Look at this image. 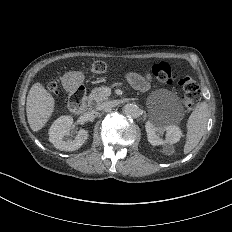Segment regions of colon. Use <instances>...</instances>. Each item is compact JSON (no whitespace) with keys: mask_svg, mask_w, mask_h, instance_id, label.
Wrapping results in <instances>:
<instances>
[{"mask_svg":"<svg viewBox=\"0 0 232 232\" xmlns=\"http://www.w3.org/2000/svg\"><path fill=\"white\" fill-rule=\"evenodd\" d=\"M105 65L104 61H93V65H87L88 73H105L106 69L102 68ZM159 82H164V77H159ZM179 86H187L182 94V99H187L185 106H182V111H198V107H201L199 97H195V94H201L202 86H193L191 77H178ZM47 89H50L51 93L55 92V84H46Z\"/></svg>","mask_w":232,"mask_h":232,"instance_id":"colon-1","label":"colon"}]
</instances>
